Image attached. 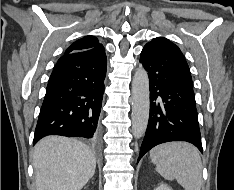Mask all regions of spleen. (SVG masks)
I'll use <instances>...</instances> for the list:
<instances>
[{
    "mask_svg": "<svg viewBox=\"0 0 234 190\" xmlns=\"http://www.w3.org/2000/svg\"><path fill=\"white\" fill-rule=\"evenodd\" d=\"M158 173L176 181L185 190H201L202 162L196 147L187 142H169L150 151Z\"/></svg>",
    "mask_w": 234,
    "mask_h": 190,
    "instance_id": "spleen-1",
    "label": "spleen"
}]
</instances>
